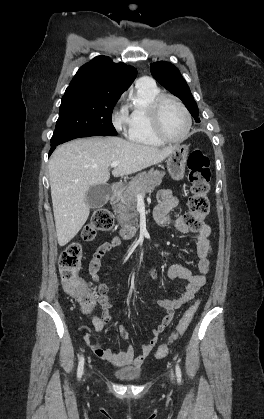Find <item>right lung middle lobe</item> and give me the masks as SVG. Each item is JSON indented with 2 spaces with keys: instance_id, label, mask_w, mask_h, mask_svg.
I'll use <instances>...</instances> for the list:
<instances>
[{
  "instance_id": "1",
  "label": "right lung middle lobe",
  "mask_w": 264,
  "mask_h": 419,
  "mask_svg": "<svg viewBox=\"0 0 264 419\" xmlns=\"http://www.w3.org/2000/svg\"><path fill=\"white\" fill-rule=\"evenodd\" d=\"M120 96L81 87L67 88L60 105L51 146L84 133L117 135L111 118Z\"/></svg>"
}]
</instances>
